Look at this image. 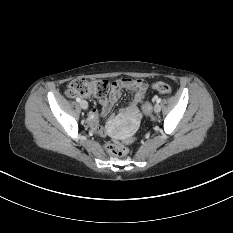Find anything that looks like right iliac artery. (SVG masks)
Wrapping results in <instances>:
<instances>
[{"label":"right iliac artery","instance_id":"obj_1","mask_svg":"<svg viewBox=\"0 0 233 233\" xmlns=\"http://www.w3.org/2000/svg\"><path fill=\"white\" fill-rule=\"evenodd\" d=\"M76 101H77V102H80V101H81V99H80V98H76Z\"/></svg>","mask_w":233,"mask_h":233}]
</instances>
